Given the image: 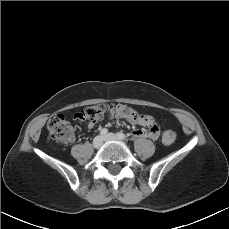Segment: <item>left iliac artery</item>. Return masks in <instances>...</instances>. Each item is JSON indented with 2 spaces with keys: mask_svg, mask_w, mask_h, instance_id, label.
I'll return each instance as SVG.
<instances>
[{
  "mask_svg": "<svg viewBox=\"0 0 229 229\" xmlns=\"http://www.w3.org/2000/svg\"><path fill=\"white\" fill-rule=\"evenodd\" d=\"M116 135H117L120 139H126V138H127V136H126L124 133H122V132H118Z\"/></svg>",
  "mask_w": 229,
  "mask_h": 229,
  "instance_id": "1",
  "label": "left iliac artery"
}]
</instances>
